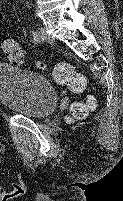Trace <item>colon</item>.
Returning a JSON list of instances; mask_svg holds the SVG:
<instances>
[{"mask_svg":"<svg viewBox=\"0 0 123 201\" xmlns=\"http://www.w3.org/2000/svg\"><path fill=\"white\" fill-rule=\"evenodd\" d=\"M1 48L6 58L14 65H23L25 55L16 40L6 38L1 43ZM54 80L69 87L73 91H82L85 87L84 77L77 73L73 67L67 63H58L52 69ZM95 105L94 99L89 97L86 103L77 102L71 106L72 117L76 120L84 119Z\"/></svg>","mask_w":123,"mask_h":201,"instance_id":"5ec220e1","label":"colon"}]
</instances>
